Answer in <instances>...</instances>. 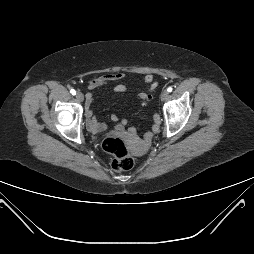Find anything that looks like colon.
Masks as SVG:
<instances>
[{
	"label": "colon",
	"mask_w": 254,
	"mask_h": 254,
	"mask_svg": "<svg viewBox=\"0 0 254 254\" xmlns=\"http://www.w3.org/2000/svg\"><path fill=\"white\" fill-rule=\"evenodd\" d=\"M103 149L113 156L111 163L115 171H127L134 165V157L125 142L118 136L112 135L103 141Z\"/></svg>",
	"instance_id": "5ec220e1"
}]
</instances>
